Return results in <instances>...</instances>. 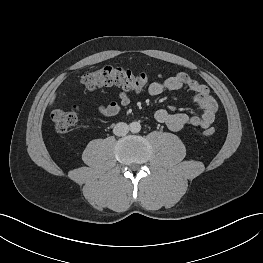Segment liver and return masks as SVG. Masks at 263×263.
Wrapping results in <instances>:
<instances>
[{"label":"liver","mask_w":263,"mask_h":263,"mask_svg":"<svg viewBox=\"0 0 263 263\" xmlns=\"http://www.w3.org/2000/svg\"><path fill=\"white\" fill-rule=\"evenodd\" d=\"M56 98V94H52L51 97H50V100H49V104H53L54 100Z\"/></svg>","instance_id":"6515ba94"}]
</instances>
